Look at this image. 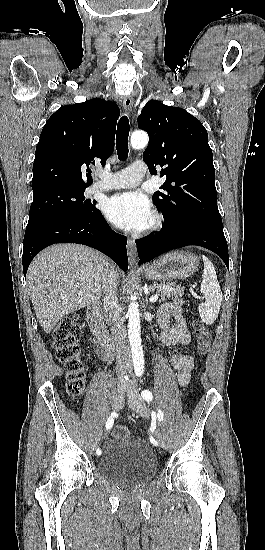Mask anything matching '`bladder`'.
I'll use <instances>...</instances> for the list:
<instances>
[{
    "label": "bladder",
    "instance_id": "31cf9c89",
    "mask_svg": "<svg viewBox=\"0 0 265 550\" xmlns=\"http://www.w3.org/2000/svg\"><path fill=\"white\" fill-rule=\"evenodd\" d=\"M158 468L155 453L138 437L109 442L98 462L107 477L126 485H139L153 478Z\"/></svg>",
    "mask_w": 265,
    "mask_h": 550
}]
</instances>
